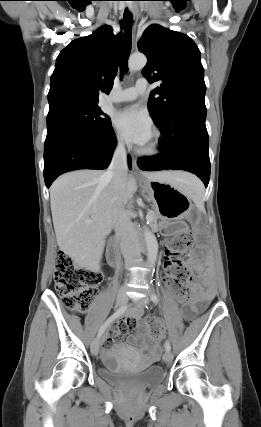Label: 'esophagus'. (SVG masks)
<instances>
[{"label":"esophagus","mask_w":261,"mask_h":427,"mask_svg":"<svg viewBox=\"0 0 261 427\" xmlns=\"http://www.w3.org/2000/svg\"><path fill=\"white\" fill-rule=\"evenodd\" d=\"M130 12H131V14L133 16V18L131 20V25H132V36L134 38V36H135V26H136V23H137V13H136V10L134 8H130ZM132 166H133L134 175L135 176H140V171L138 169L136 159H133Z\"/></svg>","instance_id":"obj_1"}]
</instances>
